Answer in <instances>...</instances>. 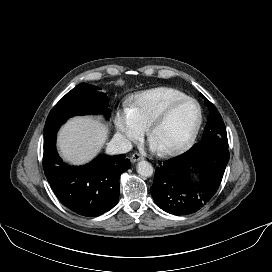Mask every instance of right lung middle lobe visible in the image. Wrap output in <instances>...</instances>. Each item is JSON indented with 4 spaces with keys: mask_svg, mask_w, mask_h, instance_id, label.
<instances>
[{
    "mask_svg": "<svg viewBox=\"0 0 272 272\" xmlns=\"http://www.w3.org/2000/svg\"><path fill=\"white\" fill-rule=\"evenodd\" d=\"M98 87L81 83L68 92L51 110L44 126V140L56 134L67 119L75 115L100 114L109 118V98Z\"/></svg>",
    "mask_w": 272,
    "mask_h": 272,
    "instance_id": "obj_1",
    "label": "right lung middle lobe"
}]
</instances>
